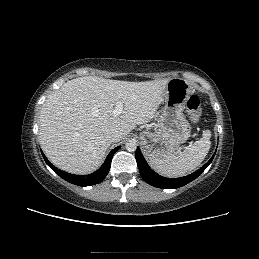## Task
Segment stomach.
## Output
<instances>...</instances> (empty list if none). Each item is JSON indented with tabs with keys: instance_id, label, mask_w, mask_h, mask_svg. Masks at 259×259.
<instances>
[{
	"instance_id": "0dacf381",
	"label": "stomach",
	"mask_w": 259,
	"mask_h": 259,
	"mask_svg": "<svg viewBox=\"0 0 259 259\" xmlns=\"http://www.w3.org/2000/svg\"><path fill=\"white\" fill-rule=\"evenodd\" d=\"M192 93L193 90L186 80H169L162 96L163 109L157 129L141 134L144 153L148 159L168 158L178 150L180 144L188 140L191 126L183 111Z\"/></svg>"
}]
</instances>
